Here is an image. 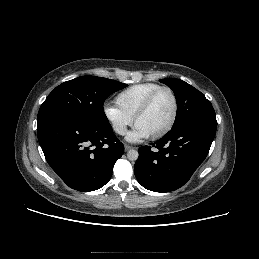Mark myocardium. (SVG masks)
Here are the masks:
<instances>
[{
  "label": "myocardium",
  "mask_w": 259,
  "mask_h": 259,
  "mask_svg": "<svg viewBox=\"0 0 259 259\" xmlns=\"http://www.w3.org/2000/svg\"><path fill=\"white\" fill-rule=\"evenodd\" d=\"M161 91H167L170 93V95L173 99L174 108H173V114H172V117H171L169 123L159 132L149 136V138L153 139V140L159 139V138L163 137L164 135H166L173 128V126L177 120L178 111H179V102H178V98H177V95L174 92V90L168 86L158 87L157 89L152 91L147 96V98L144 100V102L142 103V105L140 106V108L137 110L136 114L133 117V123H134V125H136L137 121L148 112L153 100Z\"/></svg>",
  "instance_id": "1"
}]
</instances>
